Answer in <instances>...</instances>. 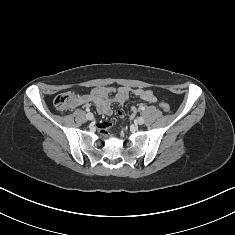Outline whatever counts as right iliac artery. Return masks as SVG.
<instances>
[{
    "instance_id": "1",
    "label": "right iliac artery",
    "mask_w": 235,
    "mask_h": 235,
    "mask_svg": "<svg viewBox=\"0 0 235 235\" xmlns=\"http://www.w3.org/2000/svg\"><path fill=\"white\" fill-rule=\"evenodd\" d=\"M86 111H87V112H89V111H90V109H89V108H86Z\"/></svg>"
}]
</instances>
